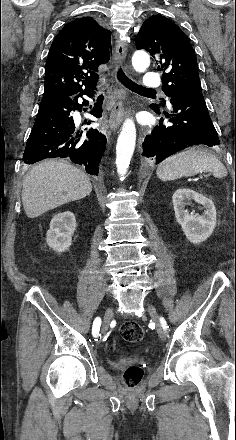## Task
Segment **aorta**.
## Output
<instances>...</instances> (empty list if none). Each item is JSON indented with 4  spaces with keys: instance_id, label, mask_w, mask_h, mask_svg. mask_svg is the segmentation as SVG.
<instances>
[{
    "instance_id": "762f6f07",
    "label": "aorta",
    "mask_w": 236,
    "mask_h": 440,
    "mask_svg": "<svg viewBox=\"0 0 236 440\" xmlns=\"http://www.w3.org/2000/svg\"><path fill=\"white\" fill-rule=\"evenodd\" d=\"M133 68L143 73L150 65V57L143 50H137L132 56ZM136 142V128L132 119H126L121 128L117 145H116V167L117 172L121 176V180L124 179V175L127 173L132 155L135 149Z\"/></svg>"
}]
</instances>
